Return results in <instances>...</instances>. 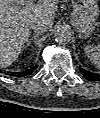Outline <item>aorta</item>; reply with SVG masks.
I'll return each instance as SVG.
<instances>
[{"label":"aorta","mask_w":100,"mask_h":118,"mask_svg":"<svg viewBox=\"0 0 100 118\" xmlns=\"http://www.w3.org/2000/svg\"><path fill=\"white\" fill-rule=\"evenodd\" d=\"M54 38L59 44H67L71 40V31L66 27H59L55 31Z\"/></svg>","instance_id":"obj_1"}]
</instances>
